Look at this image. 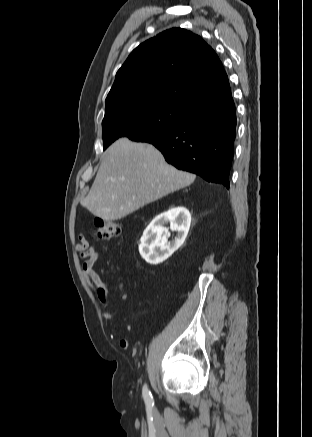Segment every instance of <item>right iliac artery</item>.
<instances>
[{
	"mask_svg": "<svg viewBox=\"0 0 312 437\" xmlns=\"http://www.w3.org/2000/svg\"><path fill=\"white\" fill-rule=\"evenodd\" d=\"M143 398L148 405H153V397L149 389L147 388V385L143 387Z\"/></svg>",
	"mask_w": 312,
	"mask_h": 437,
	"instance_id": "obj_1",
	"label": "right iliac artery"
}]
</instances>
